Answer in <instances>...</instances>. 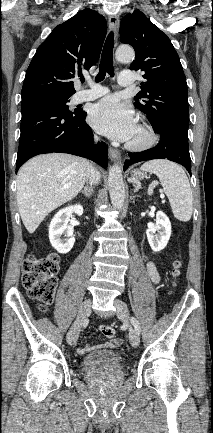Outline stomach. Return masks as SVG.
<instances>
[{
	"label": "stomach",
	"instance_id": "0dacf381",
	"mask_svg": "<svg viewBox=\"0 0 213 433\" xmlns=\"http://www.w3.org/2000/svg\"><path fill=\"white\" fill-rule=\"evenodd\" d=\"M132 177L137 180H141L145 177V173L139 169L132 170Z\"/></svg>",
	"mask_w": 213,
	"mask_h": 433
}]
</instances>
